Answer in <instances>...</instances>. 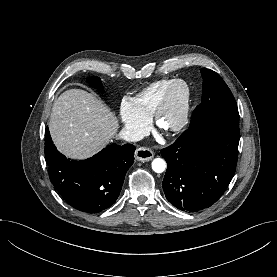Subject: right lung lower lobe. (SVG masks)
I'll return each instance as SVG.
<instances>
[{"label":"right lung lower lobe","instance_id":"obj_1","mask_svg":"<svg viewBox=\"0 0 277 277\" xmlns=\"http://www.w3.org/2000/svg\"><path fill=\"white\" fill-rule=\"evenodd\" d=\"M134 151L132 144H111L87 160H70L56 149L48 127L45 131L50 180L70 206L85 213H100L116 201Z\"/></svg>","mask_w":277,"mask_h":277}]
</instances>
